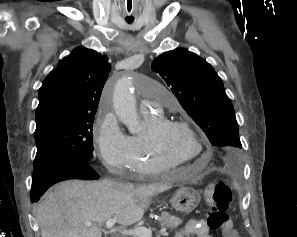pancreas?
<instances>
[{
  "label": "pancreas",
  "instance_id": "1",
  "mask_svg": "<svg viewBox=\"0 0 297 237\" xmlns=\"http://www.w3.org/2000/svg\"><path fill=\"white\" fill-rule=\"evenodd\" d=\"M159 221L162 227L169 228L170 230H173L182 224V220L179 217L170 215L167 212H162Z\"/></svg>",
  "mask_w": 297,
  "mask_h": 237
}]
</instances>
